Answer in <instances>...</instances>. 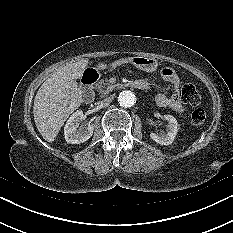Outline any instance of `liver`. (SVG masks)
Instances as JSON below:
<instances>
[{"label": "liver", "instance_id": "obj_1", "mask_svg": "<svg viewBox=\"0 0 233 233\" xmlns=\"http://www.w3.org/2000/svg\"><path fill=\"white\" fill-rule=\"evenodd\" d=\"M87 59L68 63L52 74L38 89L34 99V121L39 133L53 142L66 119L83 102L76 80L83 75ZM106 69V64H100Z\"/></svg>", "mask_w": 233, "mask_h": 233}]
</instances>
